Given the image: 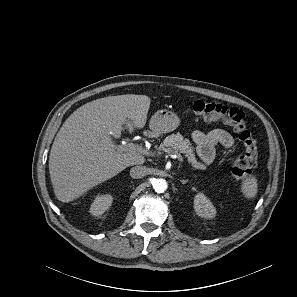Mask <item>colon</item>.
Segmentation results:
<instances>
[{
	"mask_svg": "<svg viewBox=\"0 0 297 297\" xmlns=\"http://www.w3.org/2000/svg\"><path fill=\"white\" fill-rule=\"evenodd\" d=\"M191 110L208 121L222 120L237 134L243 144V154L228 163L230 172L239 180L245 181L257 163V142L243 111L235 107H228L221 103L195 100L190 105Z\"/></svg>",
	"mask_w": 297,
	"mask_h": 297,
	"instance_id": "1",
	"label": "colon"
}]
</instances>
